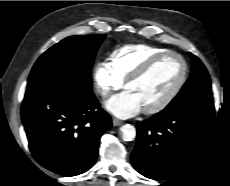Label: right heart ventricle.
<instances>
[{
  "label": "right heart ventricle",
  "mask_w": 230,
  "mask_h": 186,
  "mask_svg": "<svg viewBox=\"0 0 230 186\" xmlns=\"http://www.w3.org/2000/svg\"><path fill=\"white\" fill-rule=\"evenodd\" d=\"M165 51L168 50L149 44H127L112 51L110 65L117 76L125 81L149 58Z\"/></svg>",
  "instance_id": "obj_1"
}]
</instances>
